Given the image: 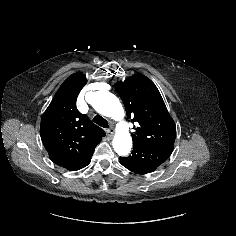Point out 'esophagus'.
I'll list each match as a JSON object with an SVG mask.
<instances>
[{"mask_svg": "<svg viewBox=\"0 0 236 236\" xmlns=\"http://www.w3.org/2000/svg\"><path fill=\"white\" fill-rule=\"evenodd\" d=\"M114 135V129L113 128H109L108 130H107V136L108 137H112Z\"/></svg>", "mask_w": 236, "mask_h": 236, "instance_id": "esophagus-1", "label": "esophagus"}]
</instances>
